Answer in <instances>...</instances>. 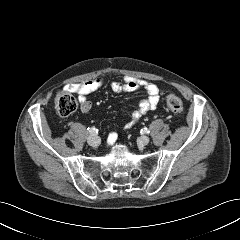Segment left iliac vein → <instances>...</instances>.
Instances as JSON below:
<instances>
[{
	"label": "left iliac vein",
	"instance_id": "left-iliac-vein-1",
	"mask_svg": "<svg viewBox=\"0 0 240 240\" xmlns=\"http://www.w3.org/2000/svg\"><path fill=\"white\" fill-rule=\"evenodd\" d=\"M150 139L148 136H141L139 139H138V143L140 146H145L149 143Z\"/></svg>",
	"mask_w": 240,
	"mask_h": 240
}]
</instances>
